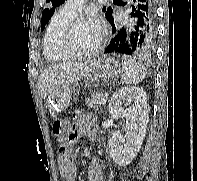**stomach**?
<instances>
[{
  "label": "stomach",
  "instance_id": "1",
  "mask_svg": "<svg viewBox=\"0 0 197 181\" xmlns=\"http://www.w3.org/2000/svg\"><path fill=\"white\" fill-rule=\"evenodd\" d=\"M123 71L121 64L115 58L106 57L93 61L90 73L87 75L89 82H107L115 79ZM76 86L73 82L63 83L55 87L47 100V107L55 112H62L68 108L74 96Z\"/></svg>",
  "mask_w": 197,
  "mask_h": 181
}]
</instances>
